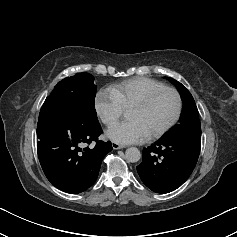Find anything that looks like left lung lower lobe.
Here are the masks:
<instances>
[{"mask_svg":"<svg viewBox=\"0 0 237 237\" xmlns=\"http://www.w3.org/2000/svg\"><path fill=\"white\" fill-rule=\"evenodd\" d=\"M201 148V136L162 138L143 149L137 166L143 183L157 193H168L181 186L192 173Z\"/></svg>","mask_w":237,"mask_h":237,"instance_id":"left-lung-lower-lobe-1","label":"left lung lower lobe"}]
</instances>
